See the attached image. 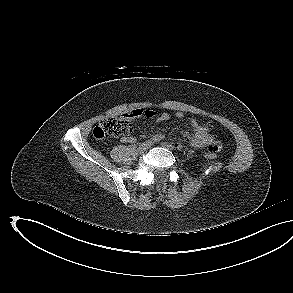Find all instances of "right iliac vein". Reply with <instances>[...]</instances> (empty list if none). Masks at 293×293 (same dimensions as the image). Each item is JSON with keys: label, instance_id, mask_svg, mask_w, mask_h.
I'll use <instances>...</instances> for the list:
<instances>
[{"label": "right iliac vein", "instance_id": "obj_1", "mask_svg": "<svg viewBox=\"0 0 293 293\" xmlns=\"http://www.w3.org/2000/svg\"><path fill=\"white\" fill-rule=\"evenodd\" d=\"M151 145H152L151 141H146L138 147V151L140 153H143V152L147 151L151 147Z\"/></svg>", "mask_w": 293, "mask_h": 293}]
</instances>
